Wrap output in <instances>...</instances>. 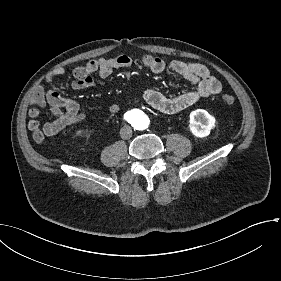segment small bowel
<instances>
[{"label":"small bowel","mask_w":281,"mask_h":281,"mask_svg":"<svg viewBox=\"0 0 281 281\" xmlns=\"http://www.w3.org/2000/svg\"><path fill=\"white\" fill-rule=\"evenodd\" d=\"M141 62L154 73L171 72L182 76L191 86L187 92L174 97H168L155 88L147 89L143 94L145 102L163 114L181 113L198 101L218 94L222 89L221 82L203 64L181 60L165 61L153 55H144ZM133 64L134 60L129 55L91 60L85 65L73 69L72 88L82 90L92 87L95 85L93 75L97 74L101 78H107L115 69H127ZM63 73V68L54 69L47 78V82H51ZM46 105L50 106L55 119L41 126L38 121L40 108ZM107 111L110 114H117L120 111V106L117 103H112L108 106ZM28 115L30 118L28 128L33 132V139L38 143L44 140V136L53 137L65 128L80 123L85 117L80 111L77 101L60 95L54 89L45 90L43 87H39L34 93ZM42 136L43 140L38 141L42 139Z\"/></svg>","instance_id":"c3829d8e"}]
</instances>
